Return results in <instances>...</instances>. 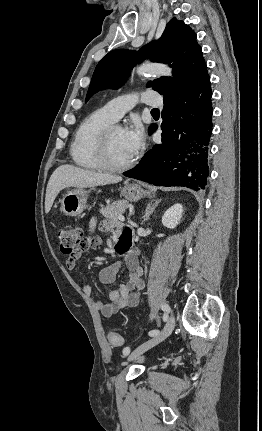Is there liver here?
Here are the masks:
<instances>
[{"instance_id": "liver-1", "label": "liver", "mask_w": 262, "mask_h": 431, "mask_svg": "<svg viewBox=\"0 0 262 431\" xmlns=\"http://www.w3.org/2000/svg\"><path fill=\"white\" fill-rule=\"evenodd\" d=\"M122 177L111 174L97 173L72 165H61L51 175L46 188L45 212L51 210L53 202L64 188H87L118 183Z\"/></svg>"}]
</instances>
